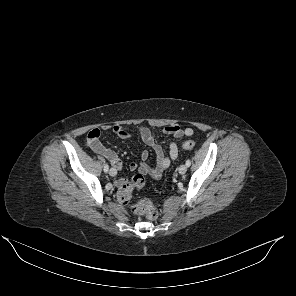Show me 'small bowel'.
<instances>
[{"label": "small bowel", "mask_w": 296, "mask_h": 296, "mask_svg": "<svg viewBox=\"0 0 296 296\" xmlns=\"http://www.w3.org/2000/svg\"><path fill=\"white\" fill-rule=\"evenodd\" d=\"M108 130H112L117 136L122 139L130 138V132L128 129L120 125H104L102 126V128H93L89 131L87 135L86 145L98 155L109 160L116 170H121L122 162L118 154L112 149L105 147L100 141L102 131ZM163 133L166 135H172L176 138H180L183 136L193 135V129L182 128L178 124H172L166 126L163 129ZM138 134L142 141L154 150L156 155V164L155 166H150L146 163V160L149 157V152L144 150L140 154L141 162L139 164L133 162L129 165V168L131 171H135L138 169L140 173H143L144 175H149L154 179H158L170 166L171 162L178 158V145L175 142H171L169 144V156H167L164 152L163 147L156 141L155 134L150 129L146 127H140L138 128ZM115 183L120 188L123 184L127 183V180L122 177H118Z\"/></svg>", "instance_id": "c3829d8e"}]
</instances>
